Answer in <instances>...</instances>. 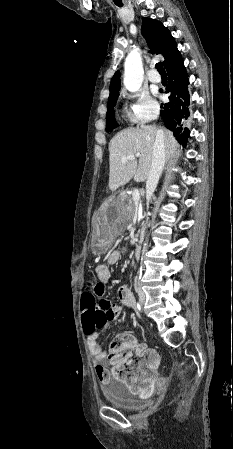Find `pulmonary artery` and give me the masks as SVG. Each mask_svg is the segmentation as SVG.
I'll return each mask as SVG.
<instances>
[{
    "label": "pulmonary artery",
    "mask_w": 233,
    "mask_h": 449,
    "mask_svg": "<svg viewBox=\"0 0 233 449\" xmlns=\"http://www.w3.org/2000/svg\"><path fill=\"white\" fill-rule=\"evenodd\" d=\"M148 79L153 83H159L161 81V76L155 70H151L148 73Z\"/></svg>",
    "instance_id": "e3ab8cb5"
}]
</instances>
